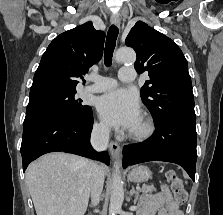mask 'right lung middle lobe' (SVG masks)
<instances>
[{"instance_id": "right-lung-middle-lobe-1", "label": "right lung middle lobe", "mask_w": 223, "mask_h": 215, "mask_svg": "<svg viewBox=\"0 0 223 215\" xmlns=\"http://www.w3.org/2000/svg\"><path fill=\"white\" fill-rule=\"evenodd\" d=\"M76 90H43L30 92L24 124L45 119L85 121L92 108L75 99Z\"/></svg>"}]
</instances>
